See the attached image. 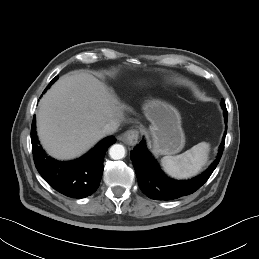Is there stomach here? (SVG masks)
<instances>
[{"label": "stomach", "mask_w": 259, "mask_h": 259, "mask_svg": "<svg viewBox=\"0 0 259 259\" xmlns=\"http://www.w3.org/2000/svg\"><path fill=\"white\" fill-rule=\"evenodd\" d=\"M146 118L151 122L153 151L156 154L172 155L180 152L185 144L179 112L171 105L152 100L144 105Z\"/></svg>", "instance_id": "stomach-1"}]
</instances>
